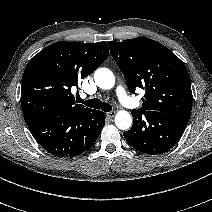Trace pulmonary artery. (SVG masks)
<instances>
[{"label":"pulmonary artery","mask_w":212,"mask_h":212,"mask_svg":"<svg viewBox=\"0 0 212 212\" xmlns=\"http://www.w3.org/2000/svg\"><path fill=\"white\" fill-rule=\"evenodd\" d=\"M116 96L119 102L127 108H132L134 106L133 99L126 93L125 89L119 85L115 90Z\"/></svg>","instance_id":"1"}]
</instances>
